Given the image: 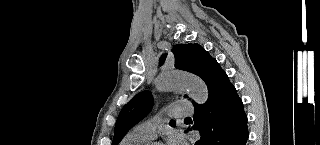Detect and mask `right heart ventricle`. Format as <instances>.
<instances>
[{
    "instance_id": "1",
    "label": "right heart ventricle",
    "mask_w": 320,
    "mask_h": 145,
    "mask_svg": "<svg viewBox=\"0 0 320 145\" xmlns=\"http://www.w3.org/2000/svg\"><path fill=\"white\" fill-rule=\"evenodd\" d=\"M151 140V138L133 130L123 138L120 145H147Z\"/></svg>"
}]
</instances>
